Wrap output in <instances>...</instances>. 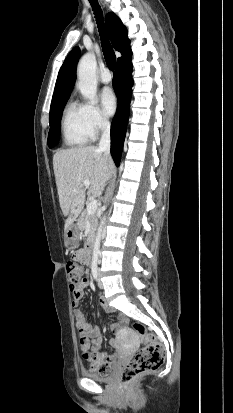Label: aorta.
Returning <instances> with one entry per match:
<instances>
[{"label":"aorta","instance_id":"obj_1","mask_svg":"<svg viewBox=\"0 0 233 413\" xmlns=\"http://www.w3.org/2000/svg\"><path fill=\"white\" fill-rule=\"evenodd\" d=\"M96 57L93 53L85 54L78 63L77 87L80 90L83 97L91 104L96 103L97 95V81H96ZM106 221V215L101 218L100 225L97 231L96 239L94 242V248L92 253V265L95 266L98 262L100 253V243L103 234V227Z\"/></svg>","mask_w":233,"mask_h":413}]
</instances>
